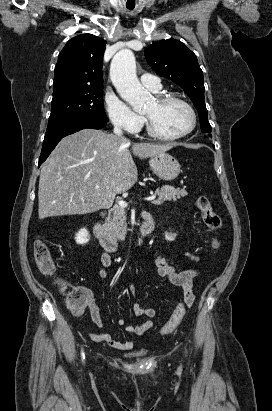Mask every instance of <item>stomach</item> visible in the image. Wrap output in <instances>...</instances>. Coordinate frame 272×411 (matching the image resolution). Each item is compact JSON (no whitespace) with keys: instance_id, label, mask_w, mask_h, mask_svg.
Segmentation results:
<instances>
[{"instance_id":"0dacf381","label":"stomach","mask_w":272,"mask_h":411,"mask_svg":"<svg viewBox=\"0 0 272 411\" xmlns=\"http://www.w3.org/2000/svg\"><path fill=\"white\" fill-rule=\"evenodd\" d=\"M151 170L162 180H174L180 173L179 162L167 153H160L150 157Z\"/></svg>"}]
</instances>
